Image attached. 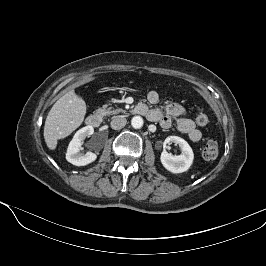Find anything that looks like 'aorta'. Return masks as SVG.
I'll use <instances>...</instances> for the list:
<instances>
[{"label":"aorta","instance_id":"aorta-1","mask_svg":"<svg viewBox=\"0 0 266 266\" xmlns=\"http://www.w3.org/2000/svg\"><path fill=\"white\" fill-rule=\"evenodd\" d=\"M131 125L135 129H140L143 126V119L140 116H134L131 120Z\"/></svg>","mask_w":266,"mask_h":266}]
</instances>
